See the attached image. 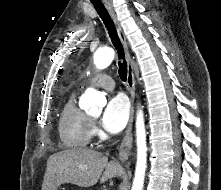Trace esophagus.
<instances>
[{"label": "esophagus", "mask_w": 221, "mask_h": 190, "mask_svg": "<svg viewBox=\"0 0 221 190\" xmlns=\"http://www.w3.org/2000/svg\"><path fill=\"white\" fill-rule=\"evenodd\" d=\"M105 4L107 7V10L114 22V25L116 27L117 33L119 35V38L121 40V43L123 45L125 57L127 60V86L128 91L130 94V100H131V110H130V118L129 123L125 132V135L122 139L120 148H119V158L121 161H126L130 155L131 147H132V126H133V118H134V100H135V78H134V71H133V62L129 53V47L128 42L126 39V36L124 34V31L121 27L120 22L118 21L116 14L114 13V10L109 2L105 0Z\"/></svg>", "instance_id": "34e87169"}]
</instances>
